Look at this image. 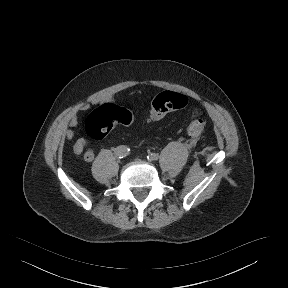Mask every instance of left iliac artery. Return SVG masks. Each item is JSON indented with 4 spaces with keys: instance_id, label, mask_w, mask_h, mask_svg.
<instances>
[{
    "instance_id": "1",
    "label": "left iliac artery",
    "mask_w": 288,
    "mask_h": 288,
    "mask_svg": "<svg viewBox=\"0 0 288 288\" xmlns=\"http://www.w3.org/2000/svg\"><path fill=\"white\" fill-rule=\"evenodd\" d=\"M147 158H148V160H150V161H156V160H158L159 156H158V154H156V153H150V154L147 156Z\"/></svg>"
}]
</instances>
